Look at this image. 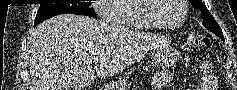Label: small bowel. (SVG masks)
<instances>
[{"label": "small bowel", "instance_id": "obj_1", "mask_svg": "<svg viewBox=\"0 0 237 90\" xmlns=\"http://www.w3.org/2000/svg\"><path fill=\"white\" fill-rule=\"evenodd\" d=\"M201 77L198 90H218V80L213 74L210 63L205 62L200 66ZM176 76L169 70H160L152 77V90H162L169 85Z\"/></svg>", "mask_w": 237, "mask_h": 90}]
</instances>
